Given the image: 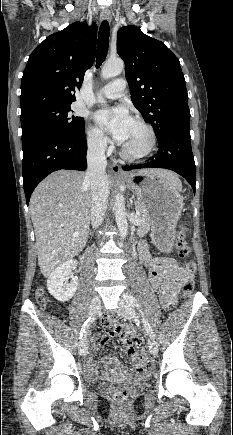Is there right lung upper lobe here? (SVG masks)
I'll return each mask as SVG.
<instances>
[{
  "label": "right lung upper lobe",
  "mask_w": 233,
  "mask_h": 435,
  "mask_svg": "<svg viewBox=\"0 0 233 435\" xmlns=\"http://www.w3.org/2000/svg\"><path fill=\"white\" fill-rule=\"evenodd\" d=\"M97 25L75 22L48 36L29 56L21 81V116L70 105L85 71L93 65Z\"/></svg>",
  "instance_id": "obj_1"
}]
</instances>
